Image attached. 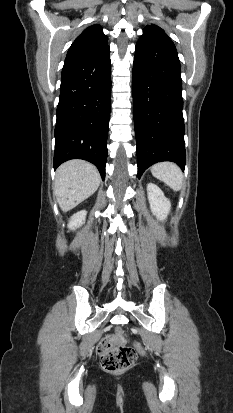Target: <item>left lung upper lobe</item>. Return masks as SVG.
Here are the masks:
<instances>
[{"label": "left lung upper lobe", "mask_w": 233, "mask_h": 413, "mask_svg": "<svg viewBox=\"0 0 233 413\" xmlns=\"http://www.w3.org/2000/svg\"><path fill=\"white\" fill-rule=\"evenodd\" d=\"M154 33L162 34V35H165L166 37H168V36L165 34V32H164V30H163L162 28H160V27H158V26H156V25H154V24H151V25H147V26L143 29V35H142L140 38H143V37H145L146 35L154 34ZM168 38H169V37H168Z\"/></svg>", "instance_id": "obj_1"}]
</instances>
